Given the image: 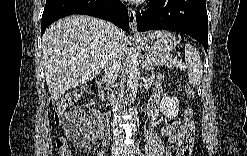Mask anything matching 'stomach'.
Instances as JSON below:
<instances>
[{
  "instance_id": "stomach-1",
  "label": "stomach",
  "mask_w": 247,
  "mask_h": 156,
  "mask_svg": "<svg viewBox=\"0 0 247 156\" xmlns=\"http://www.w3.org/2000/svg\"><path fill=\"white\" fill-rule=\"evenodd\" d=\"M177 43L176 35L169 31H154L141 37L142 47L149 54L167 55Z\"/></svg>"
}]
</instances>
